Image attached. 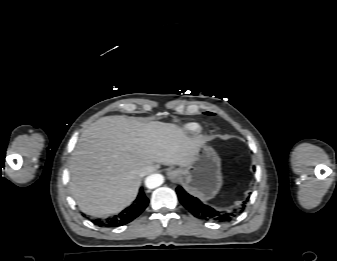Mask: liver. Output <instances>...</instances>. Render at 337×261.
Listing matches in <instances>:
<instances>
[{"mask_svg": "<svg viewBox=\"0 0 337 261\" xmlns=\"http://www.w3.org/2000/svg\"><path fill=\"white\" fill-rule=\"evenodd\" d=\"M202 143L176 124L103 117L83 131L72 153L70 191L85 214L119 213L136 198L144 168L189 166Z\"/></svg>", "mask_w": 337, "mask_h": 261, "instance_id": "1", "label": "liver"}]
</instances>
